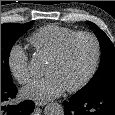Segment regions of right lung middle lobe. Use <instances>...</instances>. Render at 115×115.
<instances>
[{
	"mask_svg": "<svg viewBox=\"0 0 115 115\" xmlns=\"http://www.w3.org/2000/svg\"><path fill=\"white\" fill-rule=\"evenodd\" d=\"M34 21L25 24L5 23L1 25V86L13 85L9 68V55L13 44L23 35Z\"/></svg>",
	"mask_w": 115,
	"mask_h": 115,
	"instance_id": "right-lung-middle-lobe-1",
	"label": "right lung middle lobe"
}]
</instances>
